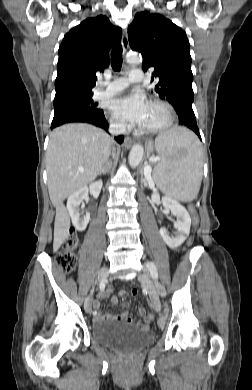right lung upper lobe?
I'll use <instances>...</instances> for the list:
<instances>
[{
	"label": "right lung upper lobe",
	"mask_w": 252,
	"mask_h": 390,
	"mask_svg": "<svg viewBox=\"0 0 252 390\" xmlns=\"http://www.w3.org/2000/svg\"><path fill=\"white\" fill-rule=\"evenodd\" d=\"M121 36V28L103 15L86 19L71 29L58 51L54 101L92 94L96 72L108 66L109 51Z\"/></svg>",
	"instance_id": "1"
}]
</instances>
